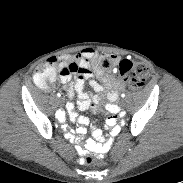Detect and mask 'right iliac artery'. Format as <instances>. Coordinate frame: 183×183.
Wrapping results in <instances>:
<instances>
[{"label":"right iliac artery","mask_w":183,"mask_h":183,"mask_svg":"<svg viewBox=\"0 0 183 183\" xmlns=\"http://www.w3.org/2000/svg\"><path fill=\"white\" fill-rule=\"evenodd\" d=\"M61 95L60 94H58V97H60ZM62 111H58L57 113H56V116L58 117V118H61L62 117Z\"/></svg>","instance_id":"obj_1"}]
</instances>
